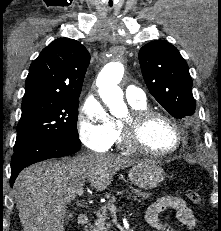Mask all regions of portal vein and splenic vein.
Segmentation results:
<instances>
[{"label": "portal vein and splenic vein", "mask_w": 221, "mask_h": 231, "mask_svg": "<svg viewBox=\"0 0 221 231\" xmlns=\"http://www.w3.org/2000/svg\"><path fill=\"white\" fill-rule=\"evenodd\" d=\"M78 196H82L84 194V190L83 188H81L80 190L77 191ZM116 209L115 205L112 203L110 206V210H114Z\"/></svg>", "instance_id": "1"}]
</instances>
